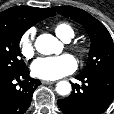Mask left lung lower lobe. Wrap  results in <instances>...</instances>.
<instances>
[{
	"label": "left lung lower lobe",
	"mask_w": 114,
	"mask_h": 114,
	"mask_svg": "<svg viewBox=\"0 0 114 114\" xmlns=\"http://www.w3.org/2000/svg\"><path fill=\"white\" fill-rule=\"evenodd\" d=\"M83 84H73V92L58 100L65 114H102L114 99V73L79 74Z\"/></svg>",
	"instance_id": "obj_1"
}]
</instances>
